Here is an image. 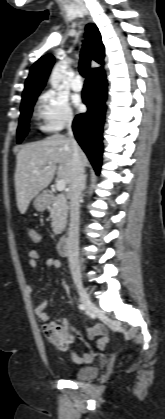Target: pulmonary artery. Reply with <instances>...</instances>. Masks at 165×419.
Returning a JSON list of instances; mask_svg holds the SVG:
<instances>
[{
    "mask_svg": "<svg viewBox=\"0 0 165 419\" xmlns=\"http://www.w3.org/2000/svg\"><path fill=\"white\" fill-rule=\"evenodd\" d=\"M82 87L83 83L81 77L79 75H76L71 82V88L75 91H80Z\"/></svg>",
    "mask_w": 165,
    "mask_h": 419,
    "instance_id": "pulmonary-artery-1",
    "label": "pulmonary artery"
}]
</instances>
